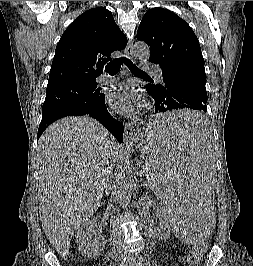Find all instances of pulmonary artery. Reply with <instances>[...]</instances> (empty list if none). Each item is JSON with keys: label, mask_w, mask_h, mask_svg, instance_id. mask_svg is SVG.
Returning <instances> with one entry per match:
<instances>
[{"label": "pulmonary artery", "mask_w": 253, "mask_h": 266, "mask_svg": "<svg viewBox=\"0 0 253 266\" xmlns=\"http://www.w3.org/2000/svg\"><path fill=\"white\" fill-rule=\"evenodd\" d=\"M147 70H149L151 73H153L154 77L157 79V81L159 82H163V75H162V70L160 67L158 66H150L147 67ZM114 81V77L104 74L102 76L99 77L98 82L100 84H107Z\"/></svg>", "instance_id": "pulmonary-artery-1"}]
</instances>
